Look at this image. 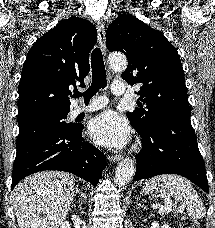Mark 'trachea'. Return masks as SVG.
Returning <instances> with one entry per match:
<instances>
[{"label":"trachea","mask_w":215,"mask_h":228,"mask_svg":"<svg viewBox=\"0 0 215 228\" xmlns=\"http://www.w3.org/2000/svg\"><path fill=\"white\" fill-rule=\"evenodd\" d=\"M91 68H92V84L86 90V92H75L73 97H84L85 103H88L90 99L100 90V88H106V70L104 60L100 48H95L91 55Z\"/></svg>","instance_id":"trachea-1"}]
</instances>
